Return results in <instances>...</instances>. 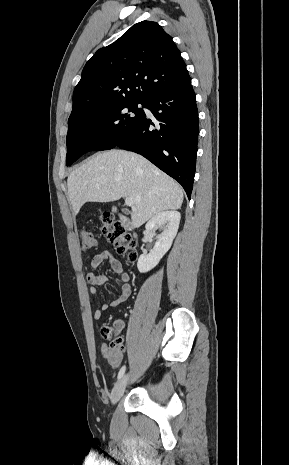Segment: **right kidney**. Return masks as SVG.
Instances as JSON below:
<instances>
[{
	"label": "right kidney",
	"instance_id": "right-kidney-1",
	"mask_svg": "<svg viewBox=\"0 0 289 465\" xmlns=\"http://www.w3.org/2000/svg\"><path fill=\"white\" fill-rule=\"evenodd\" d=\"M181 215L177 211H162L156 213L146 224L148 231L155 232L156 228L163 229L159 235L153 250L149 254H142L138 258L137 268L140 273H145L158 265L161 258L170 249L177 234ZM143 242H146L143 239Z\"/></svg>",
	"mask_w": 289,
	"mask_h": 465
}]
</instances>
